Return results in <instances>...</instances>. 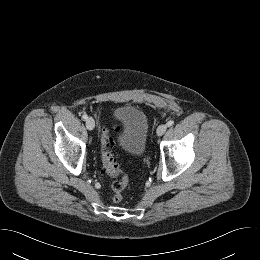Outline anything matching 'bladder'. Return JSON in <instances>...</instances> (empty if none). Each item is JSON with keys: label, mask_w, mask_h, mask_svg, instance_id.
<instances>
[{"label": "bladder", "mask_w": 260, "mask_h": 260, "mask_svg": "<svg viewBox=\"0 0 260 260\" xmlns=\"http://www.w3.org/2000/svg\"><path fill=\"white\" fill-rule=\"evenodd\" d=\"M113 118L119 123V143L132 156L141 155L145 148L149 122L143 111L134 106H121L114 110Z\"/></svg>", "instance_id": "obj_1"}]
</instances>
